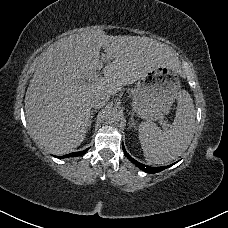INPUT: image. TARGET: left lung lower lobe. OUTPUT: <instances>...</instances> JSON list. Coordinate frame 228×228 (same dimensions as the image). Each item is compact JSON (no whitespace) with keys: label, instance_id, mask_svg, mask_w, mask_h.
I'll use <instances>...</instances> for the list:
<instances>
[{"label":"left lung lower lobe","instance_id":"obj_1","mask_svg":"<svg viewBox=\"0 0 228 228\" xmlns=\"http://www.w3.org/2000/svg\"><path fill=\"white\" fill-rule=\"evenodd\" d=\"M123 151H124V154L125 156H127V158L132 161L135 165H137L141 170L147 172V173H157V172H160L172 165H174L175 163L171 164V165H168V166H165V167H150V166H147V165H144L142 163H139L137 162L135 159H133L125 150L124 146H123Z\"/></svg>","mask_w":228,"mask_h":228}]
</instances>
